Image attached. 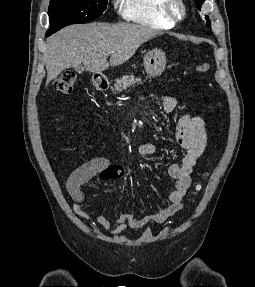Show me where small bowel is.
Here are the masks:
<instances>
[{
	"instance_id": "1",
	"label": "small bowel",
	"mask_w": 255,
	"mask_h": 287,
	"mask_svg": "<svg viewBox=\"0 0 255 287\" xmlns=\"http://www.w3.org/2000/svg\"><path fill=\"white\" fill-rule=\"evenodd\" d=\"M178 101L172 96L162 97V107L166 112H172ZM176 138L178 143L186 150V154L178 163L169 166L168 174L175 180V187L168 195V204L153 215L138 219L132 213L124 212L114 220L102 215L91 218L83 210L84 195L82 187L97 177L100 181L121 179L124 169L121 165L112 164L104 157H97L75 169L66 183L67 192L73 201V210L80 217L99 224L113 235L121 234L128 227L137 229L149 223H163L177 212L183 205L182 200L191 185V173L197 159L204 153L207 146L206 127L203 119L196 116L183 115L177 125ZM157 146L145 142L138 146L137 152L141 157H148L157 152Z\"/></svg>"
}]
</instances>
